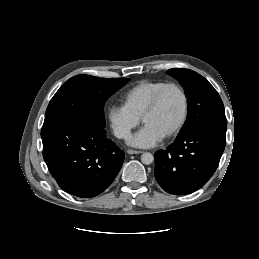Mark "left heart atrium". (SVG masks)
I'll return each instance as SVG.
<instances>
[{
    "instance_id": "obj_1",
    "label": "left heart atrium",
    "mask_w": 259,
    "mask_h": 259,
    "mask_svg": "<svg viewBox=\"0 0 259 259\" xmlns=\"http://www.w3.org/2000/svg\"><path fill=\"white\" fill-rule=\"evenodd\" d=\"M162 136L149 126L144 125L130 140V144L136 147L148 148L162 140Z\"/></svg>"
}]
</instances>
